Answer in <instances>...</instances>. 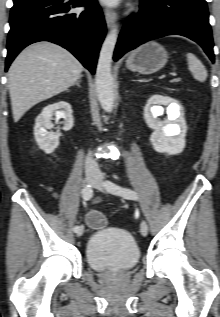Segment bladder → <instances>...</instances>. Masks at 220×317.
<instances>
[{"mask_svg": "<svg viewBox=\"0 0 220 317\" xmlns=\"http://www.w3.org/2000/svg\"><path fill=\"white\" fill-rule=\"evenodd\" d=\"M86 263L97 272H126L140 260V250L133 236L120 228L95 231L85 247Z\"/></svg>", "mask_w": 220, "mask_h": 317, "instance_id": "31cf9c89", "label": "bladder"}]
</instances>
